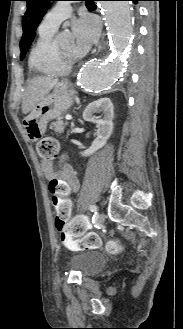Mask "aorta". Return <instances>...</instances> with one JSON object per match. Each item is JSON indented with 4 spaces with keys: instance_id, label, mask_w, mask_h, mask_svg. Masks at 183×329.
Returning <instances> with one entry per match:
<instances>
[{
    "instance_id": "762f6f07",
    "label": "aorta",
    "mask_w": 183,
    "mask_h": 329,
    "mask_svg": "<svg viewBox=\"0 0 183 329\" xmlns=\"http://www.w3.org/2000/svg\"><path fill=\"white\" fill-rule=\"evenodd\" d=\"M114 52L105 61L86 64L80 72L78 82L86 91L110 90L123 66V52L133 33L132 5L129 1L100 2Z\"/></svg>"
}]
</instances>
